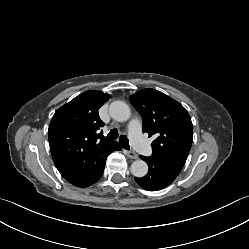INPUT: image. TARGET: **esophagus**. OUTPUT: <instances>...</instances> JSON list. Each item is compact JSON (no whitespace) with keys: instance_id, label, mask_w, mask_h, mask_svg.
<instances>
[{"instance_id":"34e87169","label":"esophagus","mask_w":249,"mask_h":249,"mask_svg":"<svg viewBox=\"0 0 249 249\" xmlns=\"http://www.w3.org/2000/svg\"><path fill=\"white\" fill-rule=\"evenodd\" d=\"M126 155L130 158V159H137L138 158V155L134 152V151H126L125 152Z\"/></svg>"}]
</instances>
